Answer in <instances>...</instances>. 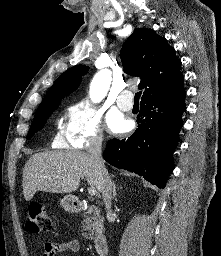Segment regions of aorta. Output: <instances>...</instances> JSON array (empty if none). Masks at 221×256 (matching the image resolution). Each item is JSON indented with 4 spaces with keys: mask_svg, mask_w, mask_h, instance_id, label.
Returning <instances> with one entry per match:
<instances>
[{
    "mask_svg": "<svg viewBox=\"0 0 221 256\" xmlns=\"http://www.w3.org/2000/svg\"><path fill=\"white\" fill-rule=\"evenodd\" d=\"M111 84V72L101 70L92 79L90 85V98L93 102H100L106 95Z\"/></svg>",
    "mask_w": 221,
    "mask_h": 256,
    "instance_id": "obj_1",
    "label": "aorta"
}]
</instances>
